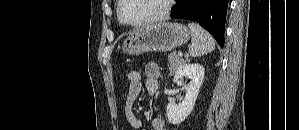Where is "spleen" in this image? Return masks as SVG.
Wrapping results in <instances>:
<instances>
[{"mask_svg": "<svg viewBox=\"0 0 299 130\" xmlns=\"http://www.w3.org/2000/svg\"><path fill=\"white\" fill-rule=\"evenodd\" d=\"M191 31L192 41L189 47V55L192 57H200L215 49V41L213 37L204 30L199 24L188 23Z\"/></svg>", "mask_w": 299, "mask_h": 130, "instance_id": "obj_1", "label": "spleen"}]
</instances>
